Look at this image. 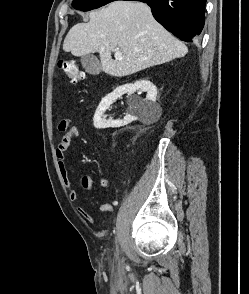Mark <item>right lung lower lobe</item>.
Returning a JSON list of instances; mask_svg holds the SVG:
<instances>
[{"label": "right lung lower lobe", "mask_w": 249, "mask_h": 294, "mask_svg": "<svg viewBox=\"0 0 249 294\" xmlns=\"http://www.w3.org/2000/svg\"><path fill=\"white\" fill-rule=\"evenodd\" d=\"M147 3L154 18L185 42H196L203 29L206 0H131Z\"/></svg>", "instance_id": "obj_1"}]
</instances>
